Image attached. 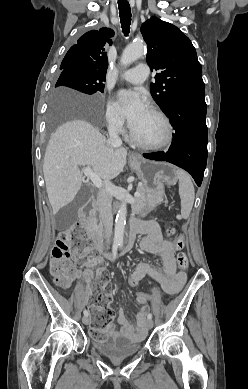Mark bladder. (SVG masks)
Instances as JSON below:
<instances>
[{
	"mask_svg": "<svg viewBox=\"0 0 248 389\" xmlns=\"http://www.w3.org/2000/svg\"><path fill=\"white\" fill-rule=\"evenodd\" d=\"M91 343L98 353L111 359L130 357L142 349L141 344L122 336H107L104 339L93 337Z\"/></svg>",
	"mask_w": 248,
	"mask_h": 389,
	"instance_id": "bladder-1",
	"label": "bladder"
}]
</instances>
